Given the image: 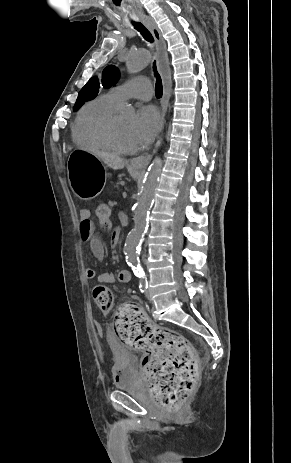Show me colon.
<instances>
[{
  "mask_svg": "<svg viewBox=\"0 0 291 463\" xmlns=\"http://www.w3.org/2000/svg\"><path fill=\"white\" fill-rule=\"evenodd\" d=\"M93 216L99 226H110L111 202H98ZM93 300L103 310H111L112 291L105 285L93 289ZM117 337L135 349L145 352L142 374L155 400L171 410L177 409L190 396L197 381V359L186 339L177 332L156 328L132 304L120 305L114 314Z\"/></svg>",
  "mask_w": 291,
  "mask_h": 463,
  "instance_id": "obj_1",
  "label": "colon"
}]
</instances>
